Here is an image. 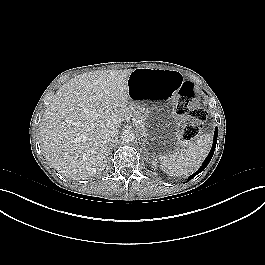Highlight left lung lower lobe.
<instances>
[{"instance_id": "obj_1", "label": "left lung lower lobe", "mask_w": 265, "mask_h": 265, "mask_svg": "<svg viewBox=\"0 0 265 265\" xmlns=\"http://www.w3.org/2000/svg\"><path fill=\"white\" fill-rule=\"evenodd\" d=\"M216 143H217V128L215 129V132H214L213 146H212L207 158L204 160L202 166L198 169V171H196L194 174H192L188 179H192L193 177H195L197 174H199L200 172H202L206 168V166L209 164L210 160L213 157V154H214V151L216 148Z\"/></svg>"}]
</instances>
